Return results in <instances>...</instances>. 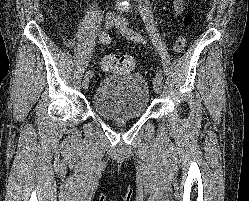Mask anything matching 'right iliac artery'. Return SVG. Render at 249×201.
<instances>
[{"instance_id":"82829eb1","label":"right iliac artery","mask_w":249,"mask_h":201,"mask_svg":"<svg viewBox=\"0 0 249 201\" xmlns=\"http://www.w3.org/2000/svg\"><path fill=\"white\" fill-rule=\"evenodd\" d=\"M99 40L103 44H109L110 43V36L106 31H102L99 35ZM86 76H89L90 78L93 76V71L89 70L86 72Z\"/></svg>"}]
</instances>
